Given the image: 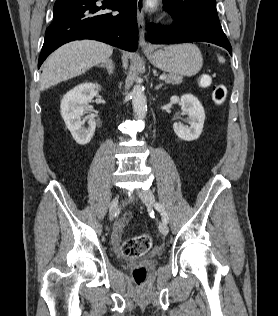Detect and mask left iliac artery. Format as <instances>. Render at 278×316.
Segmentation results:
<instances>
[{"mask_svg":"<svg viewBox=\"0 0 278 316\" xmlns=\"http://www.w3.org/2000/svg\"><path fill=\"white\" fill-rule=\"evenodd\" d=\"M155 208L160 212L161 216H162V221L165 223H168V215L165 212L163 206L159 203L155 204Z\"/></svg>","mask_w":278,"mask_h":316,"instance_id":"left-iliac-artery-1","label":"left iliac artery"}]
</instances>
